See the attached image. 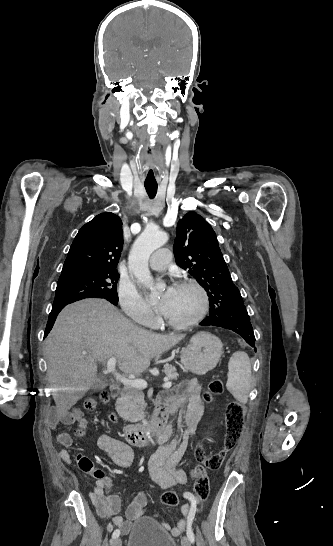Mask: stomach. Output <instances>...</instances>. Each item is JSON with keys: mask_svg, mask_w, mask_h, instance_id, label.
<instances>
[{"mask_svg": "<svg viewBox=\"0 0 333 546\" xmlns=\"http://www.w3.org/2000/svg\"><path fill=\"white\" fill-rule=\"evenodd\" d=\"M223 352L222 342L215 335L199 332L193 335L181 354V365L186 371L204 375L213 370Z\"/></svg>", "mask_w": 333, "mask_h": 546, "instance_id": "stomach-1", "label": "stomach"}]
</instances>
